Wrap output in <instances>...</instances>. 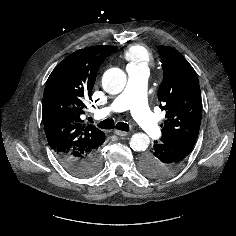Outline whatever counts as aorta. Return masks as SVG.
Wrapping results in <instances>:
<instances>
[{"instance_id":"1","label":"aorta","mask_w":236,"mask_h":236,"mask_svg":"<svg viewBox=\"0 0 236 236\" xmlns=\"http://www.w3.org/2000/svg\"><path fill=\"white\" fill-rule=\"evenodd\" d=\"M126 74L119 68H110L103 74L102 86L109 94L120 93L126 85ZM150 143L149 137L144 133H136L130 139V147L134 151H145Z\"/></svg>"}]
</instances>
